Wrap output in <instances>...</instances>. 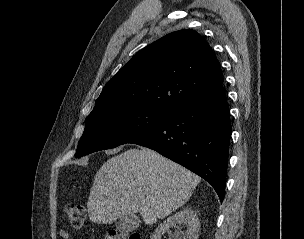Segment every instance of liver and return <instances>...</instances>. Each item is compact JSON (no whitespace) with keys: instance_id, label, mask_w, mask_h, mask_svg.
Listing matches in <instances>:
<instances>
[{"instance_id":"liver-1","label":"liver","mask_w":304,"mask_h":239,"mask_svg":"<svg viewBox=\"0 0 304 239\" xmlns=\"http://www.w3.org/2000/svg\"><path fill=\"white\" fill-rule=\"evenodd\" d=\"M201 178L148 149H129L97 172L87 202L94 223L111 224L139 213L152 225L182 206Z\"/></svg>"}]
</instances>
